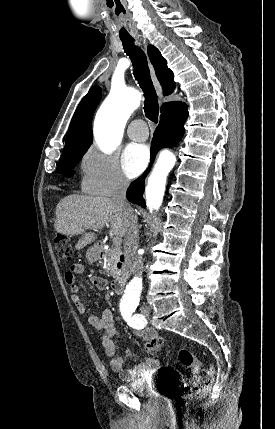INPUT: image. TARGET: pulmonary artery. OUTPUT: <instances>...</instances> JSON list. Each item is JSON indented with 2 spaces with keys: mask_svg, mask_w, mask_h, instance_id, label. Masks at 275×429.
<instances>
[{
  "mask_svg": "<svg viewBox=\"0 0 275 429\" xmlns=\"http://www.w3.org/2000/svg\"><path fill=\"white\" fill-rule=\"evenodd\" d=\"M128 136L135 141H144L148 137V129L145 122L141 119L134 120L127 129Z\"/></svg>",
  "mask_w": 275,
  "mask_h": 429,
  "instance_id": "1",
  "label": "pulmonary artery"
}]
</instances>
